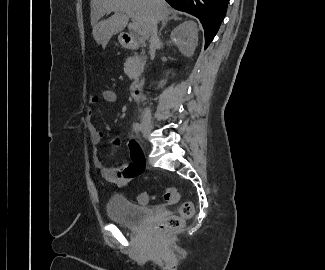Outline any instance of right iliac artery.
<instances>
[{
	"label": "right iliac artery",
	"instance_id": "82829eb1",
	"mask_svg": "<svg viewBox=\"0 0 325 270\" xmlns=\"http://www.w3.org/2000/svg\"><path fill=\"white\" fill-rule=\"evenodd\" d=\"M133 129L136 131V132H139L141 131L142 129V125L140 123H134L133 124Z\"/></svg>",
	"mask_w": 325,
	"mask_h": 270
}]
</instances>
